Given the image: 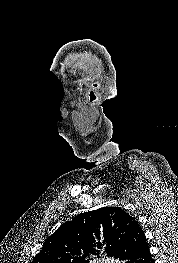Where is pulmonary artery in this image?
<instances>
[{"mask_svg":"<svg viewBox=\"0 0 178 263\" xmlns=\"http://www.w3.org/2000/svg\"><path fill=\"white\" fill-rule=\"evenodd\" d=\"M103 263H112V261L110 259H104Z\"/></svg>","mask_w":178,"mask_h":263,"instance_id":"e3ab8cb5","label":"pulmonary artery"}]
</instances>
